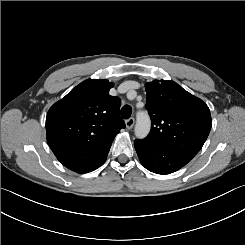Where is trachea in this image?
Returning a JSON list of instances; mask_svg holds the SVG:
<instances>
[{
	"label": "trachea",
	"instance_id": "trachea-1",
	"mask_svg": "<svg viewBox=\"0 0 245 245\" xmlns=\"http://www.w3.org/2000/svg\"><path fill=\"white\" fill-rule=\"evenodd\" d=\"M132 113V108L129 105H125L121 109V117L123 119H129Z\"/></svg>",
	"mask_w": 245,
	"mask_h": 245
}]
</instances>
